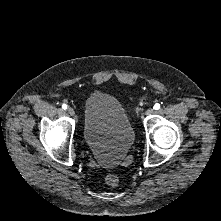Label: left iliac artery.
I'll return each mask as SVG.
<instances>
[{
  "label": "left iliac artery",
  "mask_w": 221,
  "mask_h": 221,
  "mask_svg": "<svg viewBox=\"0 0 221 221\" xmlns=\"http://www.w3.org/2000/svg\"><path fill=\"white\" fill-rule=\"evenodd\" d=\"M155 110H158V109H160V104L159 103H156L155 105H154V107H153Z\"/></svg>",
  "instance_id": "1"
}]
</instances>
